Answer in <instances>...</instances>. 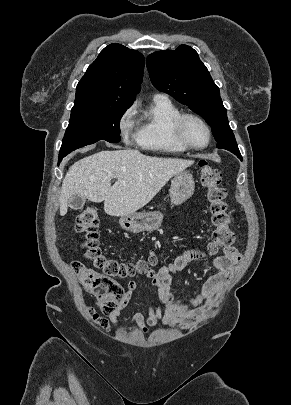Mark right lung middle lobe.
<instances>
[{
	"mask_svg": "<svg viewBox=\"0 0 291 405\" xmlns=\"http://www.w3.org/2000/svg\"><path fill=\"white\" fill-rule=\"evenodd\" d=\"M130 106L96 103L74 106L59 152V163L70 152L98 140L120 141V119Z\"/></svg>",
	"mask_w": 291,
	"mask_h": 405,
	"instance_id": "1",
	"label": "right lung middle lobe"
}]
</instances>
